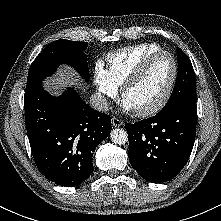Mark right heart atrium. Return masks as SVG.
<instances>
[{"label": "right heart atrium", "mask_w": 221, "mask_h": 221, "mask_svg": "<svg viewBox=\"0 0 221 221\" xmlns=\"http://www.w3.org/2000/svg\"><path fill=\"white\" fill-rule=\"evenodd\" d=\"M93 82L99 97L100 106L105 107L107 99L113 98L117 94V86L107 70L101 65H96L93 70Z\"/></svg>", "instance_id": "d8ad5b80"}]
</instances>
